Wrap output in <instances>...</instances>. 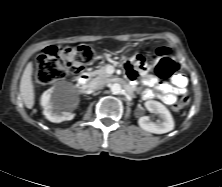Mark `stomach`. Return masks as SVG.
<instances>
[{
	"label": "stomach",
	"mask_w": 222,
	"mask_h": 187,
	"mask_svg": "<svg viewBox=\"0 0 222 187\" xmlns=\"http://www.w3.org/2000/svg\"><path fill=\"white\" fill-rule=\"evenodd\" d=\"M127 47H128V48H131V47H133V45L129 44Z\"/></svg>",
	"instance_id": "0dacf381"
}]
</instances>
